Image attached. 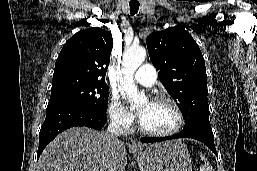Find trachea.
Masks as SVG:
<instances>
[{"instance_id": "obj_1", "label": "trachea", "mask_w": 257, "mask_h": 171, "mask_svg": "<svg viewBox=\"0 0 257 171\" xmlns=\"http://www.w3.org/2000/svg\"><path fill=\"white\" fill-rule=\"evenodd\" d=\"M129 6L131 15H135L139 10V3H130Z\"/></svg>"}]
</instances>
